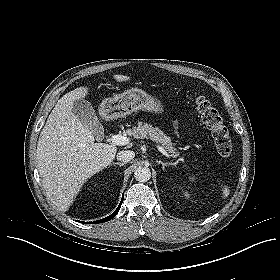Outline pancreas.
I'll return each instance as SVG.
<instances>
[{
  "mask_svg": "<svg viewBox=\"0 0 280 280\" xmlns=\"http://www.w3.org/2000/svg\"><path fill=\"white\" fill-rule=\"evenodd\" d=\"M132 134L135 138H150L151 140L160 143L171 155H179V152L171 142V138L166 136L158 127H153L148 123L138 122L137 127L133 128Z\"/></svg>",
  "mask_w": 280,
  "mask_h": 280,
  "instance_id": "1",
  "label": "pancreas"
}]
</instances>
